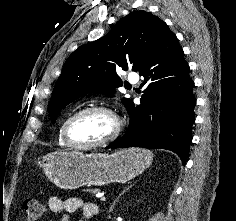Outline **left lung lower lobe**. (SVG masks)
Listing matches in <instances>:
<instances>
[{
  "instance_id": "left-lung-lower-lobe-1",
  "label": "left lung lower lobe",
  "mask_w": 236,
  "mask_h": 221,
  "mask_svg": "<svg viewBox=\"0 0 236 221\" xmlns=\"http://www.w3.org/2000/svg\"><path fill=\"white\" fill-rule=\"evenodd\" d=\"M145 86L139 105L127 108L126 134L111 148L144 147L175 152L183 164L195 121L194 82L176 36L166 31L151 58L140 69Z\"/></svg>"
}]
</instances>
